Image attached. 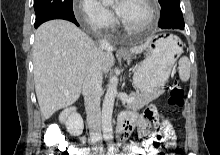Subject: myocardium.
<instances>
[{"mask_svg": "<svg viewBox=\"0 0 220 155\" xmlns=\"http://www.w3.org/2000/svg\"><path fill=\"white\" fill-rule=\"evenodd\" d=\"M142 1L146 4L148 11H149V16H148L147 21L140 26H131L127 24L126 22H124L122 19H120V23L125 30L130 31V32H142L148 29L149 27H151L156 21V18H157L156 0H142Z\"/></svg>", "mask_w": 220, "mask_h": 155, "instance_id": "myocardium-1", "label": "myocardium"}]
</instances>
